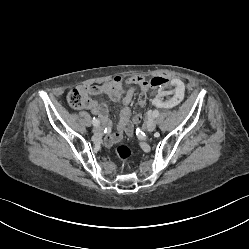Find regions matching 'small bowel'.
Here are the masks:
<instances>
[{"label": "small bowel", "instance_id": "1", "mask_svg": "<svg viewBox=\"0 0 249 249\" xmlns=\"http://www.w3.org/2000/svg\"><path fill=\"white\" fill-rule=\"evenodd\" d=\"M169 79H167V81ZM125 83H131L133 86L126 87ZM137 87L140 88L141 93L147 94L150 84L141 76H135L128 79H124L121 76H115L112 80L102 84L80 86L78 88L86 97L84 108L89 110L92 114L98 116L104 126L110 125L107 107L103 102H97L89 96L104 94L107 95L112 101L121 102L123 104L120 111V121L117 125L116 131L106 137L107 144H112L119 140L124 132H132L133 124L130 120L131 111L129 104L132 101ZM140 120L141 117L138 120H135L134 117L135 122H139Z\"/></svg>", "mask_w": 249, "mask_h": 249}]
</instances>
